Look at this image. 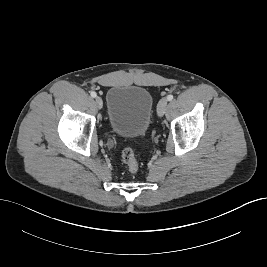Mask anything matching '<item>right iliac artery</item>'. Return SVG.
<instances>
[{"label":"right iliac artery","instance_id":"82829eb1","mask_svg":"<svg viewBox=\"0 0 267 267\" xmlns=\"http://www.w3.org/2000/svg\"><path fill=\"white\" fill-rule=\"evenodd\" d=\"M91 97L95 98L97 96L96 92H91L90 93Z\"/></svg>","mask_w":267,"mask_h":267}]
</instances>
